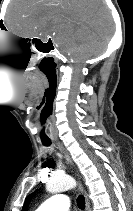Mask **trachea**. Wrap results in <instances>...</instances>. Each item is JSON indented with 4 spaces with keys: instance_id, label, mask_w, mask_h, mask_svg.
Segmentation results:
<instances>
[{
    "instance_id": "1",
    "label": "trachea",
    "mask_w": 133,
    "mask_h": 211,
    "mask_svg": "<svg viewBox=\"0 0 133 211\" xmlns=\"http://www.w3.org/2000/svg\"><path fill=\"white\" fill-rule=\"evenodd\" d=\"M43 145L45 146H49L51 144L50 141H42ZM77 204H78V207L80 209H84L85 208V198L84 196L82 195H79L78 198H77Z\"/></svg>"
}]
</instances>
